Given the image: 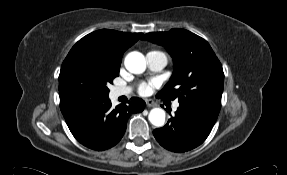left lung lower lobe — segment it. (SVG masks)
I'll return each instance as SVG.
<instances>
[{
    "label": "left lung lower lobe",
    "mask_w": 287,
    "mask_h": 175,
    "mask_svg": "<svg viewBox=\"0 0 287 175\" xmlns=\"http://www.w3.org/2000/svg\"><path fill=\"white\" fill-rule=\"evenodd\" d=\"M214 124L193 110L179 106L167 124L153 131L159 144L172 152H186L202 144Z\"/></svg>",
    "instance_id": "0a47b994"
}]
</instances>
